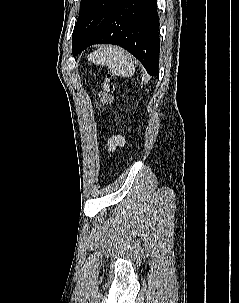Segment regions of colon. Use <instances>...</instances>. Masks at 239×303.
<instances>
[{
  "label": "colon",
  "mask_w": 239,
  "mask_h": 303,
  "mask_svg": "<svg viewBox=\"0 0 239 303\" xmlns=\"http://www.w3.org/2000/svg\"><path fill=\"white\" fill-rule=\"evenodd\" d=\"M115 77L111 74L105 75L99 82L97 108L102 109L112 102Z\"/></svg>",
  "instance_id": "5ec220e1"
}]
</instances>
